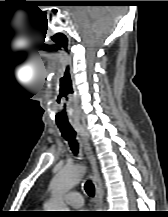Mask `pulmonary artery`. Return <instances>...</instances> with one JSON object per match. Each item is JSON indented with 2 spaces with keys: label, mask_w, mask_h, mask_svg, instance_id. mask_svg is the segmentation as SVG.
Segmentation results:
<instances>
[{
  "label": "pulmonary artery",
  "mask_w": 168,
  "mask_h": 217,
  "mask_svg": "<svg viewBox=\"0 0 168 217\" xmlns=\"http://www.w3.org/2000/svg\"><path fill=\"white\" fill-rule=\"evenodd\" d=\"M65 201L67 204L74 208H79L83 206L84 203L82 195L79 192L75 191L66 194Z\"/></svg>",
  "instance_id": "1"
}]
</instances>
